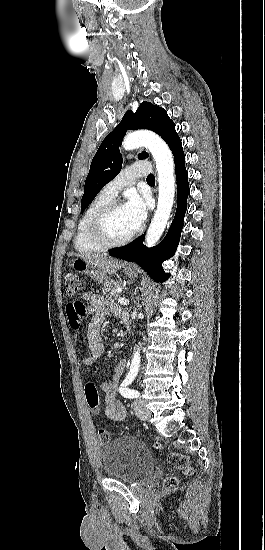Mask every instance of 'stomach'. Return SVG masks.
<instances>
[{
	"mask_svg": "<svg viewBox=\"0 0 265 550\" xmlns=\"http://www.w3.org/2000/svg\"><path fill=\"white\" fill-rule=\"evenodd\" d=\"M71 266L76 272L89 275L99 282H103L106 279L105 274L100 269L82 258L74 259ZM125 274L130 278H134L137 276V271L135 269L126 268Z\"/></svg>",
	"mask_w": 265,
	"mask_h": 550,
	"instance_id": "1",
	"label": "stomach"
}]
</instances>
